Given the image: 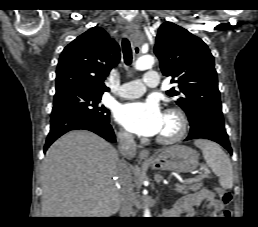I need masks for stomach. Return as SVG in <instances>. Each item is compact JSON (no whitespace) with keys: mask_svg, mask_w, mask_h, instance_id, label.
Wrapping results in <instances>:
<instances>
[{"mask_svg":"<svg viewBox=\"0 0 258 227\" xmlns=\"http://www.w3.org/2000/svg\"><path fill=\"white\" fill-rule=\"evenodd\" d=\"M199 157L195 150L184 145H175L163 149L151 162L155 170H168L186 173L196 169Z\"/></svg>","mask_w":258,"mask_h":227,"instance_id":"stomach-1","label":"stomach"}]
</instances>
